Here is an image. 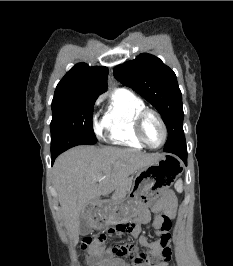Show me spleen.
<instances>
[{
  "mask_svg": "<svg viewBox=\"0 0 233 266\" xmlns=\"http://www.w3.org/2000/svg\"><path fill=\"white\" fill-rule=\"evenodd\" d=\"M175 189H176L178 192H182V190H183L182 180H178V181L175 183Z\"/></svg>",
  "mask_w": 233,
  "mask_h": 266,
  "instance_id": "1",
  "label": "spleen"
}]
</instances>
